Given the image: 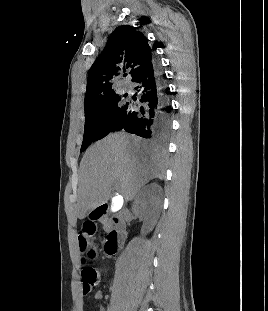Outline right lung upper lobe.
<instances>
[{
	"instance_id": "cb5924a9",
	"label": "right lung upper lobe",
	"mask_w": 268,
	"mask_h": 311,
	"mask_svg": "<svg viewBox=\"0 0 268 311\" xmlns=\"http://www.w3.org/2000/svg\"><path fill=\"white\" fill-rule=\"evenodd\" d=\"M154 47H150L145 35L129 25L118 26L110 35L100 56L90 68L85 106L87 111L102 99L112 95L113 80L130 70L132 80L140 76L152 63Z\"/></svg>"
}]
</instances>
